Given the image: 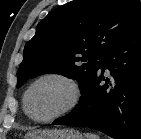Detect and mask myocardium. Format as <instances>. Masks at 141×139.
<instances>
[{"instance_id": "myocardium-1", "label": "myocardium", "mask_w": 141, "mask_h": 139, "mask_svg": "<svg viewBox=\"0 0 141 139\" xmlns=\"http://www.w3.org/2000/svg\"><path fill=\"white\" fill-rule=\"evenodd\" d=\"M47 79H57L60 80L64 83H66L71 91V98L68 102V104L61 109L59 112H57L56 114L47 117V118H37L35 116H33L31 114V112L29 111V96L31 91L33 90V88L40 83L41 81L47 80ZM82 88L80 83L73 77L65 74V73H61V72H49V73H45L39 77H37L27 88L25 94H24V98H23V107H24V111L27 114V116L32 119L33 121L39 122V123H49L52 122L60 117L65 116L66 114L70 113L71 111H73L78 104L81 101L82 98Z\"/></svg>"}]
</instances>
